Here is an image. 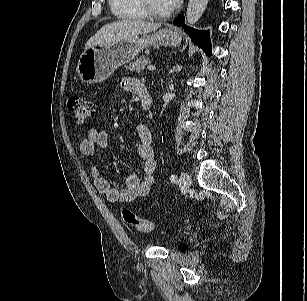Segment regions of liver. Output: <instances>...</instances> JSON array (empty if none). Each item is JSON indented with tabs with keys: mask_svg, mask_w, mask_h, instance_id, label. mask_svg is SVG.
<instances>
[{
	"mask_svg": "<svg viewBox=\"0 0 307 301\" xmlns=\"http://www.w3.org/2000/svg\"><path fill=\"white\" fill-rule=\"evenodd\" d=\"M160 23L142 20H122L104 25L85 45V50L99 44H111L116 41L138 36L157 30Z\"/></svg>",
	"mask_w": 307,
	"mask_h": 301,
	"instance_id": "obj_1",
	"label": "liver"
}]
</instances>
